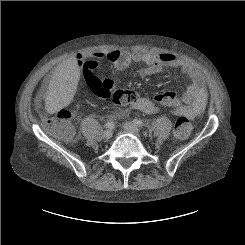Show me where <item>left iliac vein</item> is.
Returning a JSON list of instances; mask_svg holds the SVG:
<instances>
[{
  "label": "left iliac vein",
  "instance_id": "1",
  "mask_svg": "<svg viewBox=\"0 0 245 245\" xmlns=\"http://www.w3.org/2000/svg\"><path fill=\"white\" fill-rule=\"evenodd\" d=\"M123 128L127 132L133 133L135 135H138L139 134L138 127L134 123H132V122H125L123 124Z\"/></svg>",
  "mask_w": 245,
  "mask_h": 245
}]
</instances>
